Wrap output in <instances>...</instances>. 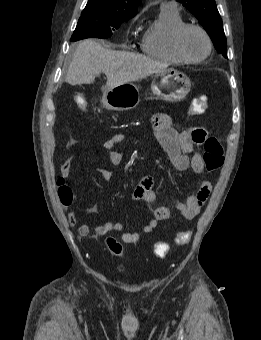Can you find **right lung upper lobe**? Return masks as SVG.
<instances>
[{"instance_id":"cb5924a9","label":"right lung upper lobe","mask_w":261,"mask_h":340,"mask_svg":"<svg viewBox=\"0 0 261 340\" xmlns=\"http://www.w3.org/2000/svg\"><path fill=\"white\" fill-rule=\"evenodd\" d=\"M139 0H89L86 7L107 10L117 15L133 17Z\"/></svg>"}]
</instances>
